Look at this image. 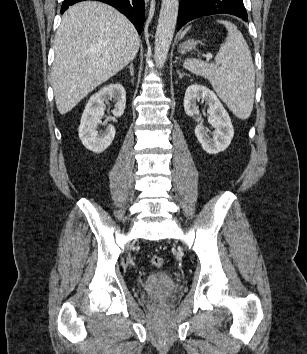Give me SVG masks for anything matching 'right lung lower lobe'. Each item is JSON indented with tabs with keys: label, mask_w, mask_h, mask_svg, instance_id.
<instances>
[{
	"label": "right lung lower lobe",
	"mask_w": 307,
	"mask_h": 354,
	"mask_svg": "<svg viewBox=\"0 0 307 354\" xmlns=\"http://www.w3.org/2000/svg\"><path fill=\"white\" fill-rule=\"evenodd\" d=\"M84 1V0H65L62 7L61 13H63L68 7L74 3ZM107 3L121 13H123L136 27L138 33L142 31L144 24V0H97Z\"/></svg>",
	"instance_id": "right-lung-lower-lobe-1"
}]
</instances>
